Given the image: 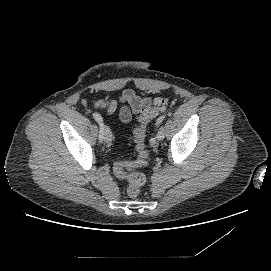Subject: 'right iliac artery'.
<instances>
[{
    "label": "right iliac artery",
    "instance_id": "right-iliac-artery-1",
    "mask_svg": "<svg viewBox=\"0 0 271 271\" xmlns=\"http://www.w3.org/2000/svg\"><path fill=\"white\" fill-rule=\"evenodd\" d=\"M93 118L99 123V126H100L99 140H100V142H102V139H103V125H104L102 117L98 113H94Z\"/></svg>",
    "mask_w": 271,
    "mask_h": 271
}]
</instances>
